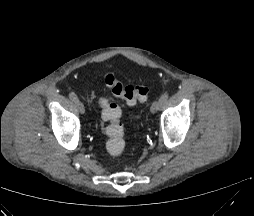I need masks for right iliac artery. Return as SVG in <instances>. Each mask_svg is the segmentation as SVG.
<instances>
[{
    "label": "right iliac artery",
    "mask_w": 254,
    "mask_h": 216,
    "mask_svg": "<svg viewBox=\"0 0 254 216\" xmlns=\"http://www.w3.org/2000/svg\"><path fill=\"white\" fill-rule=\"evenodd\" d=\"M69 98L72 100V101H77L78 100V97L75 93L71 92L69 93Z\"/></svg>",
    "instance_id": "1"
}]
</instances>
